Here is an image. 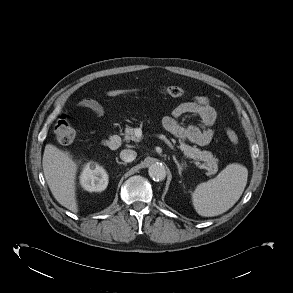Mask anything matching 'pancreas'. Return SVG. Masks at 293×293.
Segmentation results:
<instances>
[{
	"label": "pancreas",
	"mask_w": 293,
	"mask_h": 293,
	"mask_svg": "<svg viewBox=\"0 0 293 293\" xmlns=\"http://www.w3.org/2000/svg\"><path fill=\"white\" fill-rule=\"evenodd\" d=\"M135 128L127 126L125 129V137L126 141H137V136L135 134ZM175 142V140L173 139ZM179 149L184 153L185 156L192 158L196 161H204L202 167L208 170L210 175L216 174L218 171V159L213 156V154L206 150H200L195 146L187 145L184 141L179 140Z\"/></svg>",
	"instance_id": "1"
}]
</instances>
